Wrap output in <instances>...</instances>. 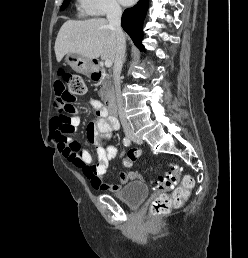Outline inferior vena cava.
I'll return each mask as SVG.
<instances>
[{"mask_svg":"<svg viewBox=\"0 0 248 258\" xmlns=\"http://www.w3.org/2000/svg\"><path fill=\"white\" fill-rule=\"evenodd\" d=\"M121 16L122 10L118 3L111 2L108 6L107 10V19L109 22V26L111 29L114 30L117 38L116 44V53L114 58V67H113V79L115 85V92H116V101L118 107V114L119 118L123 127V130L126 135L132 134V129L130 124L127 121L126 113L124 111V103L123 98L121 95V88H120V74L122 70V65L125 57L126 51V41L125 35L121 28Z\"/></svg>","mask_w":248,"mask_h":258,"instance_id":"obj_1","label":"inferior vena cava"}]
</instances>
